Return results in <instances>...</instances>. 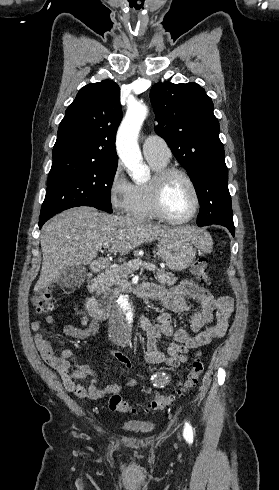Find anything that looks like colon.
I'll use <instances>...</instances> for the list:
<instances>
[{
  "label": "colon",
  "instance_id": "5ec220e1",
  "mask_svg": "<svg viewBox=\"0 0 279 490\" xmlns=\"http://www.w3.org/2000/svg\"><path fill=\"white\" fill-rule=\"evenodd\" d=\"M192 273L203 286L208 287L211 283V276L208 269V260L206 257H200L192 265ZM35 306V312L38 315H47L54 310L55 298L50 288L37 292L32 298ZM204 364L202 359L197 358L192 362L187 378L178 388L157 394L148 402L143 404V410L154 412L166 408L177 398L181 397L186 391L191 390L198 385L203 373ZM108 408L113 412L133 413L135 408L127 401L123 400L118 394H111L108 399Z\"/></svg>",
  "mask_w": 279,
  "mask_h": 490
}]
</instances>
